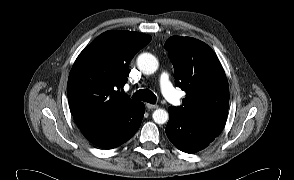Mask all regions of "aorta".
I'll list each match as a JSON object with an SVG mask.
<instances>
[{
    "label": "aorta",
    "instance_id": "762f6f07",
    "mask_svg": "<svg viewBox=\"0 0 294 180\" xmlns=\"http://www.w3.org/2000/svg\"><path fill=\"white\" fill-rule=\"evenodd\" d=\"M158 60L151 53H142L137 58V66L144 74H152L158 69ZM157 124H164L169 119V114L164 109H156L152 114Z\"/></svg>",
    "mask_w": 294,
    "mask_h": 180
}]
</instances>
